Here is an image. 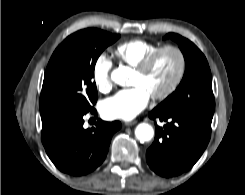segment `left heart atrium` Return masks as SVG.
Instances as JSON below:
<instances>
[{"mask_svg":"<svg viewBox=\"0 0 245 195\" xmlns=\"http://www.w3.org/2000/svg\"><path fill=\"white\" fill-rule=\"evenodd\" d=\"M150 97L143 86L135 85L102 101L101 112L108 119L132 120L146 108Z\"/></svg>","mask_w":245,"mask_h":195,"instance_id":"left-heart-atrium-1","label":"left heart atrium"}]
</instances>
